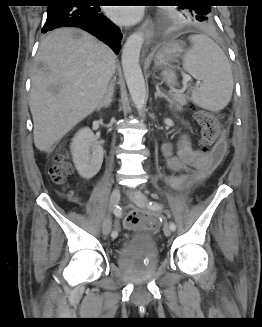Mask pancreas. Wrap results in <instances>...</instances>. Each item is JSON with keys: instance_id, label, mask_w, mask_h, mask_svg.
Wrapping results in <instances>:
<instances>
[{"instance_id": "obj_1", "label": "pancreas", "mask_w": 262, "mask_h": 327, "mask_svg": "<svg viewBox=\"0 0 262 327\" xmlns=\"http://www.w3.org/2000/svg\"><path fill=\"white\" fill-rule=\"evenodd\" d=\"M170 97L172 99V104L171 105H175L176 109L178 111L182 110V106H184L187 103V97L186 95H184L183 93H170Z\"/></svg>"}]
</instances>
